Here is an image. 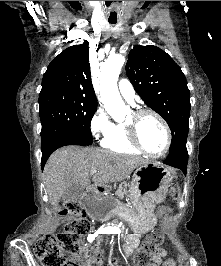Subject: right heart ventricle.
<instances>
[{"label":"right heart ventricle","instance_id":"e07e8e85","mask_svg":"<svg viewBox=\"0 0 221 266\" xmlns=\"http://www.w3.org/2000/svg\"><path fill=\"white\" fill-rule=\"evenodd\" d=\"M101 145L103 148L117 153H140L129 141L125 126L120 123L112 125L110 132L102 139Z\"/></svg>","mask_w":221,"mask_h":266}]
</instances>
